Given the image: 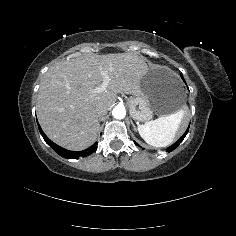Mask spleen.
<instances>
[{"label":"spleen","mask_w":236,"mask_h":236,"mask_svg":"<svg viewBox=\"0 0 236 236\" xmlns=\"http://www.w3.org/2000/svg\"><path fill=\"white\" fill-rule=\"evenodd\" d=\"M185 114L186 110L181 109L169 116L159 117L138 125L139 134L149 145L166 147L173 142Z\"/></svg>","instance_id":"obj_1"}]
</instances>
